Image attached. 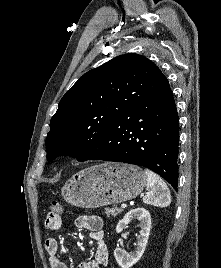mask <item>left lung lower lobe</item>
<instances>
[{
  "label": "left lung lower lobe",
  "mask_w": 221,
  "mask_h": 268,
  "mask_svg": "<svg viewBox=\"0 0 221 268\" xmlns=\"http://www.w3.org/2000/svg\"><path fill=\"white\" fill-rule=\"evenodd\" d=\"M178 145V114L168 85L121 115L88 160L147 167L177 190Z\"/></svg>",
  "instance_id": "1"
}]
</instances>
